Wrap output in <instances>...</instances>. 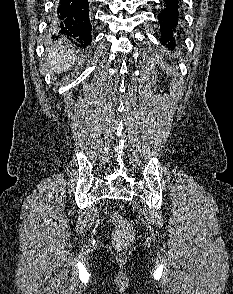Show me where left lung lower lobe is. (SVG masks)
I'll list each match as a JSON object with an SVG mask.
<instances>
[{
  "instance_id": "1",
  "label": "left lung lower lobe",
  "mask_w": 233,
  "mask_h": 294,
  "mask_svg": "<svg viewBox=\"0 0 233 294\" xmlns=\"http://www.w3.org/2000/svg\"><path fill=\"white\" fill-rule=\"evenodd\" d=\"M167 4L166 9L158 15L160 23V31L162 43L169 49L173 50L175 42H173V32L177 25L178 19V0H164ZM167 40V41H166ZM168 42V43H167Z\"/></svg>"
}]
</instances>
